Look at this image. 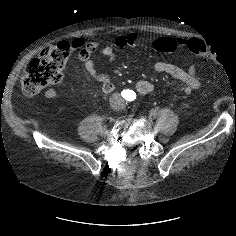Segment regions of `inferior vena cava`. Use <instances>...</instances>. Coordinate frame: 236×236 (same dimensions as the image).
Listing matches in <instances>:
<instances>
[{
  "instance_id": "602c4592",
  "label": "inferior vena cava",
  "mask_w": 236,
  "mask_h": 236,
  "mask_svg": "<svg viewBox=\"0 0 236 236\" xmlns=\"http://www.w3.org/2000/svg\"><path fill=\"white\" fill-rule=\"evenodd\" d=\"M110 106L113 110H120L124 106V100L119 93H113L110 97Z\"/></svg>"
}]
</instances>
